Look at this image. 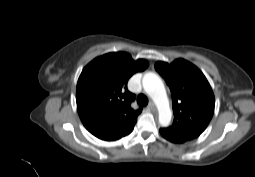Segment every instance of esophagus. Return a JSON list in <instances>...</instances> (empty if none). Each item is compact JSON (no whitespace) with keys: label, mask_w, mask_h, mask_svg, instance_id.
I'll return each instance as SVG.
<instances>
[{"label":"esophagus","mask_w":255,"mask_h":177,"mask_svg":"<svg viewBox=\"0 0 255 177\" xmlns=\"http://www.w3.org/2000/svg\"><path fill=\"white\" fill-rule=\"evenodd\" d=\"M148 109H149L150 111H155V110H156V107H155V105H154L153 102H150V103H149Z\"/></svg>","instance_id":"34e87169"}]
</instances>
